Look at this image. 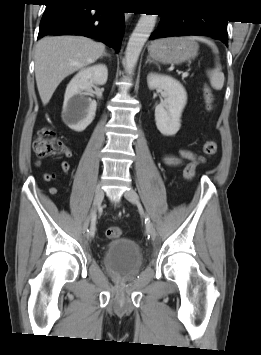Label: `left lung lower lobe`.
Returning a JSON list of instances; mask_svg holds the SVG:
<instances>
[{"instance_id":"0a47b994","label":"left lung lower lobe","mask_w":261,"mask_h":355,"mask_svg":"<svg viewBox=\"0 0 261 355\" xmlns=\"http://www.w3.org/2000/svg\"><path fill=\"white\" fill-rule=\"evenodd\" d=\"M158 28L151 34L150 39L171 36L200 35L210 36L228 46L227 20L199 19L176 15H161Z\"/></svg>"}]
</instances>
